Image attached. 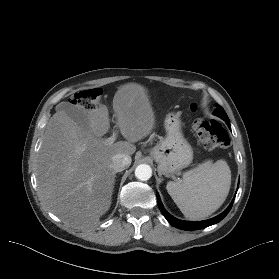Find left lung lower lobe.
<instances>
[{"instance_id": "0a47b994", "label": "left lung lower lobe", "mask_w": 279, "mask_h": 279, "mask_svg": "<svg viewBox=\"0 0 279 279\" xmlns=\"http://www.w3.org/2000/svg\"><path fill=\"white\" fill-rule=\"evenodd\" d=\"M227 125L229 128H231L230 123H228ZM157 200H158V206H159L160 210L162 211L164 217L171 223V225H173L176 228L182 229V230H198V229H203L205 227L218 223L229 213V211L232 207V204H233V201H232L231 204L228 206V208L223 213L214 217L213 219L201 221V222H190V221H181V220L174 218L164 209L158 195H157Z\"/></svg>"}]
</instances>
